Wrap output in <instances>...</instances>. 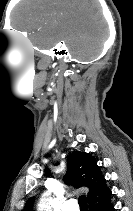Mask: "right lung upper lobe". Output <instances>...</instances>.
<instances>
[{
  "instance_id": "cb5924a9",
  "label": "right lung upper lobe",
  "mask_w": 133,
  "mask_h": 211,
  "mask_svg": "<svg viewBox=\"0 0 133 211\" xmlns=\"http://www.w3.org/2000/svg\"><path fill=\"white\" fill-rule=\"evenodd\" d=\"M63 180L65 184H72L75 188H88L89 206L109 199L112 194L95 158L89 153L75 151L69 155ZM33 202L34 197L29 198L23 211H32Z\"/></svg>"
}]
</instances>
